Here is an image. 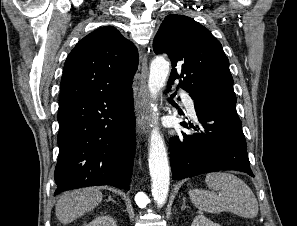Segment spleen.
I'll list each match as a JSON object with an SVG mask.
<instances>
[{
	"mask_svg": "<svg viewBox=\"0 0 297 226\" xmlns=\"http://www.w3.org/2000/svg\"><path fill=\"white\" fill-rule=\"evenodd\" d=\"M205 181L211 191L191 189L192 203L208 213L232 212L244 218L258 214V202L250 187L231 173L215 172L206 175ZM218 191V193L216 192Z\"/></svg>",
	"mask_w": 297,
	"mask_h": 226,
	"instance_id": "spleen-1",
	"label": "spleen"
}]
</instances>
